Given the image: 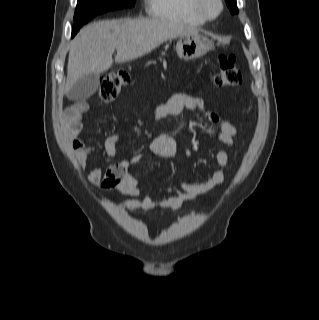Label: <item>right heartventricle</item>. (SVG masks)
<instances>
[{"label":"right heart ventricle","instance_id":"1","mask_svg":"<svg viewBox=\"0 0 319 320\" xmlns=\"http://www.w3.org/2000/svg\"><path fill=\"white\" fill-rule=\"evenodd\" d=\"M192 2L193 0H147V9L155 19L187 26H203L206 21L195 13Z\"/></svg>","mask_w":319,"mask_h":320}]
</instances>
